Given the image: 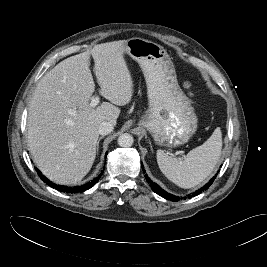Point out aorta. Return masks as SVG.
<instances>
[{"label":"aorta","mask_w":267,"mask_h":267,"mask_svg":"<svg viewBox=\"0 0 267 267\" xmlns=\"http://www.w3.org/2000/svg\"><path fill=\"white\" fill-rule=\"evenodd\" d=\"M133 142H134V140H133L132 135H130L128 133L121 134L118 137V144L121 147H131Z\"/></svg>","instance_id":"762f6f07"}]
</instances>
